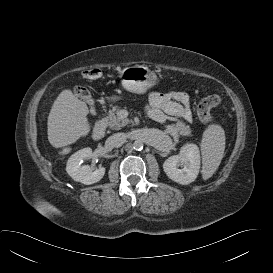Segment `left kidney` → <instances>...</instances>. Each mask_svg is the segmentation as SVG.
Here are the masks:
<instances>
[{"label":"left kidney","instance_id":"left-kidney-1","mask_svg":"<svg viewBox=\"0 0 273 273\" xmlns=\"http://www.w3.org/2000/svg\"><path fill=\"white\" fill-rule=\"evenodd\" d=\"M163 169L171 180L179 184L187 185L193 182L200 169V152L197 145L189 143L181 147L178 155L166 159Z\"/></svg>","mask_w":273,"mask_h":273}]
</instances>
